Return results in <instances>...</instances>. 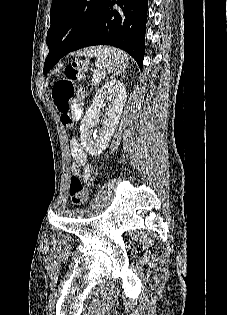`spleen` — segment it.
<instances>
[{"instance_id": "spleen-1", "label": "spleen", "mask_w": 227, "mask_h": 315, "mask_svg": "<svg viewBox=\"0 0 227 315\" xmlns=\"http://www.w3.org/2000/svg\"><path fill=\"white\" fill-rule=\"evenodd\" d=\"M79 55H88L97 58L102 66L114 76L123 73L128 65L127 55L115 48L98 47L79 53Z\"/></svg>"}]
</instances>
